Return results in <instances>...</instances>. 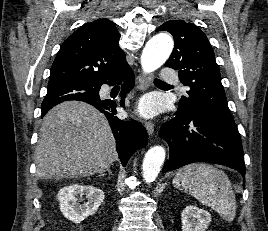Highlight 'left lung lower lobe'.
<instances>
[{
    "label": "left lung lower lobe",
    "instance_id": "left-lung-lower-lobe-1",
    "mask_svg": "<svg viewBox=\"0 0 268 231\" xmlns=\"http://www.w3.org/2000/svg\"><path fill=\"white\" fill-rule=\"evenodd\" d=\"M159 136L170 147L163 172L194 162L221 164L237 170L245 179V163L237 127L197 113L176 116L162 124Z\"/></svg>",
    "mask_w": 268,
    "mask_h": 231
}]
</instances>
